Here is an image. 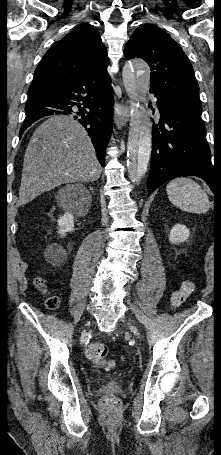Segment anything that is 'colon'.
Wrapping results in <instances>:
<instances>
[{"label": "colon", "mask_w": 221, "mask_h": 455, "mask_svg": "<svg viewBox=\"0 0 221 455\" xmlns=\"http://www.w3.org/2000/svg\"><path fill=\"white\" fill-rule=\"evenodd\" d=\"M36 286L40 290L45 289L44 281L41 278L35 280ZM194 284L192 282H184L179 290L173 293L171 297V305L173 307L180 306L193 292ZM59 300L56 296H48L46 299V306L48 309L54 310L58 307ZM86 355L88 359L96 367H104L111 369L114 367V363L106 359L107 348L102 343H91L86 349ZM103 405L109 410H117L120 406L118 398L114 396H108L104 399Z\"/></svg>", "instance_id": "1"}]
</instances>
